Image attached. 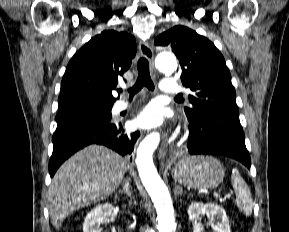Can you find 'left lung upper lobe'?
Instances as JSON below:
<instances>
[{
    "mask_svg": "<svg viewBox=\"0 0 289 232\" xmlns=\"http://www.w3.org/2000/svg\"><path fill=\"white\" fill-rule=\"evenodd\" d=\"M155 45L170 47L182 68V84L193 91L191 107H185L189 122L220 117L239 122L236 93L225 60L207 38L185 26H175L160 34Z\"/></svg>",
    "mask_w": 289,
    "mask_h": 232,
    "instance_id": "1",
    "label": "left lung upper lobe"
}]
</instances>
